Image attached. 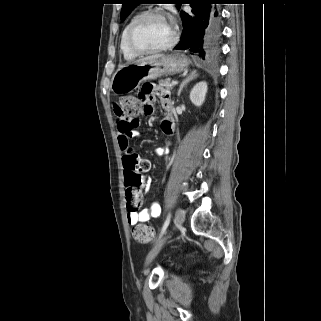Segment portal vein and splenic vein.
I'll list each match as a JSON object with an SVG mask.
<instances>
[{
  "instance_id": "1",
  "label": "portal vein and splenic vein",
  "mask_w": 321,
  "mask_h": 321,
  "mask_svg": "<svg viewBox=\"0 0 321 321\" xmlns=\"http://www.w3.org/2000/svg\"><path fill=\"white\" fill-rule=\"evenodd\" d=\"M178 84V81H172V85H177Z\"/></svg>"
}]
</instances>
